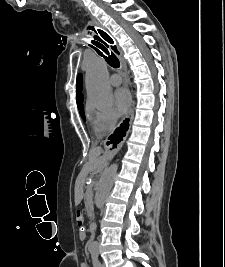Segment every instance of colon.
<instances>
[{
	"instance_id": "colon-1",
	"label": "colon",
	"mask_w": 225,
	"mask_h": 267,
	"mask_svg": "<svg viewBox=\"0 0 225 267\" xmlns=\"http://www.w3.org/2000/svg\"><path fill=\"white\" fill-rule=\"evenodd\" d=\"M75 218H76V223L79 227H82L83 225V222H84V219H83V215L81 212H76V215H75Z\"/></svg>"
}]
</instances>
